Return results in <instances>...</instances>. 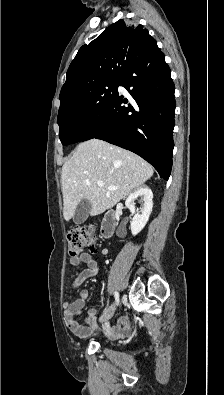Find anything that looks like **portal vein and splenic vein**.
<instances>
[{"instance_id":"18ae733b","label":"portal vein and splenic vein","mask_w":224,"mask_h":395,"mask_svg":"<svg viewBox=\"0 0 224 395\" xmlns=\"http://www.w3.org/2000/svg\"><path fill=\"white\" fill-rule=\"evenodd\" d=\"M97 185L99 186V187H103L104 186V183L102 182V181H98L97 182ZM118 187H115V186H110V187H108V189L109 190H116Z\"/></svg>"}]
</instances>
